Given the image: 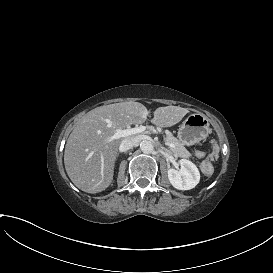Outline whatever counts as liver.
<instances>
[{"instance_id":"1","label":"liver","mask_w":273,"mask_h":273,"mask_svg":"<svg viewBox=\"0 0 273 273\" xmlns=\"http://www.w3.org/2000/svg\"><path fill=\"white\" fill-rule=\"evenodd\" d=\"M151 112L139 102L125 101L96 107L78 122L66 143L64 166L73 184L83 192L96 194L112 183L119 147L128 137L115 139L117 130L143 124ZM189 113L187 108L162 106L152 114L151 124L169 128Z\"/></svg>"}]
</instances>
